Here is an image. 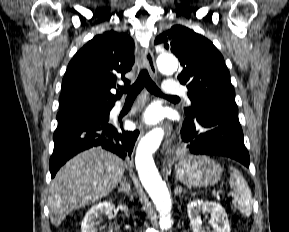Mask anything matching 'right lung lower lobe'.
I'll return each mask as SVG.
<instances>
[{
    "mask_svg": "<svg viewBox=\"0 0 289 232\" xmlns=\"http://www.w3.org/2000/svg\"><path fill=\"white\" fill-rule=\"evenodd\" d=\"M108 120L109 118L78 119L58 123L53 135L54 151L49 163L52 178L67 160L93 146H101L123 159L131 155L139 132H120Z\"/></svg>",
    "mask_w": 289,
    "mask_h": 232,
    "instance_id": "right-lung-lower-lobe-1",
    "label": "right lung lower lobe"
}]
</instances>
